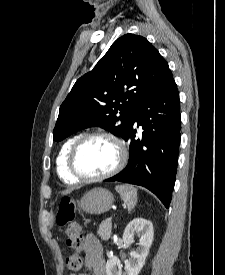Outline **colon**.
<instances>
[{
    "label": "colon",
    "mask_w": 225,
    "mask_h": 275,
    "mask_svg": "<svg viewBox=\"0 0 225 275\" xmlns=\"http://www.w3.org/2000/svg\"><path fill=\"white\" fill-rule=\"evenodd\" d=\"M75 215V202L70 198H63L59 205L56 222L59 226L65 228L66 244L73 249V253L66 260V266L68 270L78 272L82 268V257L80 255L82 236L79 225L74 222Z\"/></svg>",
    "instance_id": "5ec220e1"
}]
</instances>
